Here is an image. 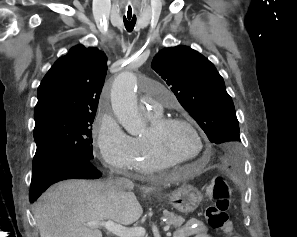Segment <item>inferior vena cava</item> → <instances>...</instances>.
<instances>
[{
  "label": "inferior vena cava",
  "instance_id": "602c4592",
  "mask_svg": "<svg viewBox=\"0 0 297 237\" xmlns=\"http://www.w3.org/2000/svg\"><path fill=\"white\" fill-rule=\"evenodd\" d=\"M112 184L120 191H124L125 189L133 187V183L124 177L117 178L116 180L112 181Z\"/></svg>",
  "mask_w": 297,
  "mask_h": 237
}]
</instances>
